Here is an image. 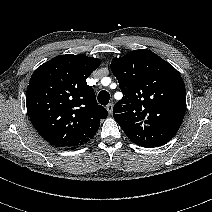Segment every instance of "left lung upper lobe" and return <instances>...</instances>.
Instances as JSON below:
<instances>
[{
	"instance_id": "5c2ea615",
	"label": "left lung upper lobe",
	"mask_w": 212,
	"mask_h": 212,
	"mask_svg": "<svg viewBox=\"0 0 212 212\" xmlns=\"http://www.w3.org/2000/svg\"><path fill=\"white\" fill-rule=\"evenodd\" d=\"M123 98L113 117L123 131L147 125L179 128L186 111V90L180 73L155 53L140 49L112 59Z\"/></svg>"
}]
</instances>
